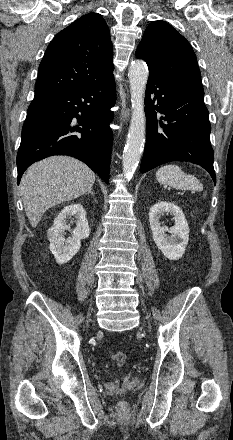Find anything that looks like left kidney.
Here are the masks:
<instances>
[{"mask_svg": "<svg viewBox=\"0 0 233 440\" xmlns=\"http://www.w3.org/2000/svg\"><path fill=\"white\" fill-rule=\"evenodd\" d=\"M165 213L174 216V226H161L159 219ZM149 222L154 242L164 256L169 260L181 258L189 240V226L183 211L174 203L160 201L150 208Z\"/></svg>", "mask_w": 233, "mask_h": 440, "instance_id": "left-kidney-1", "label": "left kidney"}]
</instances>
